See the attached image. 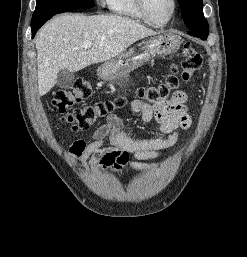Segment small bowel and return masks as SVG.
<instances>
[{
	"mask_svg": "<svg viewBox=\"0 0 247 257\" xmlns=\"http://www.w3.org/2000/svg\"><path fill=\"white\" fill-rule=\"evenodd\" d=\"M186 101V93L177 91L170 99L154 105L141 100L132 102V109L139 113L141 122H155L157 129L167 135L165 138L134 140L123 128L122 119L111 113L106 122L96 128L90 142L83 139L73 142L69 149L70 155L82 163L89 161L93 168L109 170L112 173L120 172L124 168L134 171L155 168L156 164H147L144 161L159 157L163 150L177 142L178 130L188 129L191 125ZM105 139L109 140V146H104Z\"/></svg>",
	"mask_w": 247,
	"mask_h": 257,
	"instance_id": "1",
	"label": "small bowel"
}]
</instances>
